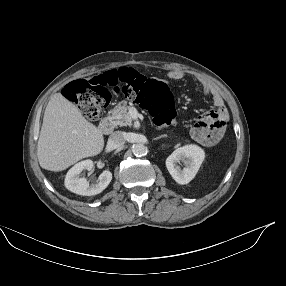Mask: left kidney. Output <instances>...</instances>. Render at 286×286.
I'll return each mask as SVG.
<instances>
[{"instance_id":"obj_1","label":"left kidney","mask_w":286,"mask_h":286,"mask_svg":"<svg viewBox=\"0 0 286 286\" xmlns=\"http://www.w3.org/2000/svg\"><path fill=\"white\" fill-rule=\"evenodd\" d=\"M205 153L203 149L196 145H185L176 149L166 159V167L173 177V179L179 184L189 183L198 172ZM183 162L184 168H181L178 163Z\"/></svg>"}]
</instances>
